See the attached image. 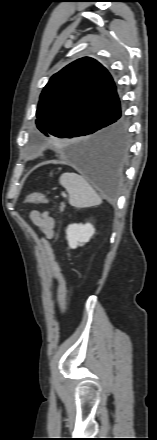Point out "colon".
Returning a JSON list of instances; mask_svg holds the SVG:
<instances>
[{"instance_id":"1","label":"colon","mask_w":157,"mask_h":440,"mask_svg":"<svg viewBox=\"0 0 157 440\" xmlns=\"http://www.w3.org/2000/svg\"><path fill=\"white\" fill-rule=\"evenodd\" d=\"M26 202L30 204H44L47 202L45 195L34 192L26 197ZM44 253L48 266L53 274L57 285V300L61 313L64 315L67 309V283L62 274L61 267L56 259L53 246L50 241H44Z\"/></svg>"}]
</instances>
